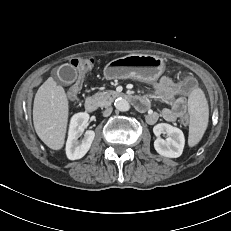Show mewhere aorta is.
Listing matches in <instances>:
<instances>
[{"label": "aorta", "instance_id": "aorta-1", "mask_svg": "<svg viewBox=\"0 0 231 231\" xmlns=\"http://www.w3.org/2000/svg\"><path fill=\"white\" fill-rule=\"evenodd\" d=\"M114 105L117 110L125 112L130 109V104L126 99L123 98H117L114 102Z\"/></svg>", "mask_w": 231, "mask_h": 231}]
</instances>
